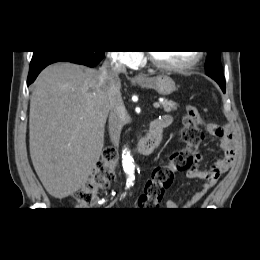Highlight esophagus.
I'll return each instance as SVG.
<instances>
[{
	"instance_id": "obj_1",
	"label": "esophagus",
	"mask_w": 260,
	"mask_h": 260,
	"mask_svg": "<svg viewBox=\"0 0 260 260\" xmlns=\"http://www.w3.org/2000/svg\"><path fill=\"white\" fill-rule=\"evenodd\" d=\"M142 77H143V76L140 75V74L135 76L136 79H141Z\"/></svg>"
}]
</instances>
